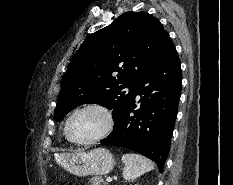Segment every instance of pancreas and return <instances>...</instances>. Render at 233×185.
<instances>
[{
    "label": "pancreas",
    "instance_id": "pancreas-1",
    "mask_svg": "<svg viewBox=\"0 0 233 185\" xmlns=\"http://www.w3.org/2000/svg\"><path fill=\"white\" fill-rule=\"evenodd\" d=\"M89 185H106L101 176H95L89 180Z\"/></svg>",
    "mask_w": 233,
    "mask_h": 185
}]
</instances>
